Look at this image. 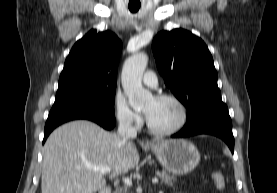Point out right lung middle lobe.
Returning <instances> with one entry per match:
<instances>
[{
	"instance_id": "1",
	"label": "right lung middle lobe",
	"mask_w": 277,
	"mask_h": 193,
	"mask_svg": "<svg viewBox=\"0 0 277 193\" xmlns=\"http://www.w3.org/2000/svg\"><path fill=\"white\" fill-rule=\"evenodd\" d=\"M115 91L116 87L107 86H84L57 91L54 105L87 107L115 117Z\"/></svg>"
}]
</instances>
